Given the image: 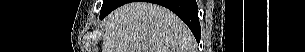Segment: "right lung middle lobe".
Masks as SVG:
<instances>
[{
	"label": "right lung middle lobe",
	"instance_id": "obj_1",
	"mask_svg": "<svg viewBox=\"0 0 305 52\" xmlns=\"http://www.w3.org/2000/svg\"><path fill=\"white\" fill-rule=\"evenodd\" d=\"M107 3H108V0H104V1H103V6H105ZM103 6H102V7H103Z\"/></svg>",
	"mask_w": 305,
	"mask_h": 52
}]
</instances>
